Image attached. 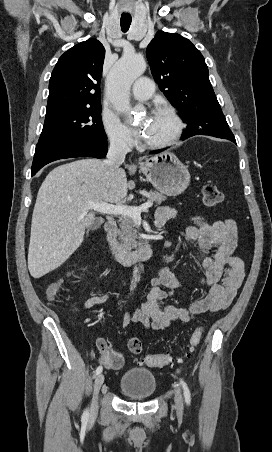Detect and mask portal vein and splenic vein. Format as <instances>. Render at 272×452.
Segmentation results:
<instances>
[{
	"label": "portal vein and splenic vein",
	"mask_w": 272,
	"mask_h": 452,
	"mask_svg": "<svg viewBox=\"0 0 272 452\" xmlns=\"http://www.w3.org/2000/svg\"><path fill=\"white\" fill-rule=\"evenodd\" d=\"M153 203L146 202L139 207L136 206H128V205H112L105 202H89L86 209L87 210H95L100 213L109 214V215H122L129 216L133 219H139L141 216V212L146 211L148 208L152 207Z\"/></svg>",
	"instance_id": "18ae733b"
}]
</instances>
